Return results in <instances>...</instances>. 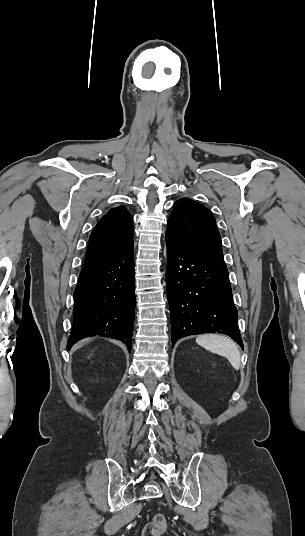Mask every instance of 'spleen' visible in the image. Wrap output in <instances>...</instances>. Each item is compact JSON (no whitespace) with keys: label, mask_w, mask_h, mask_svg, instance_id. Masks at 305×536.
Returning <instances> with one entry per match:
<instances>
[{"label":"spleen","mask_w":305,"mask_h":536,"mask_svg":"<svg viewBox=\"0 0 305 536\" xmlns=\"http://www.w3.org/2000/svg\"><path fill=\"white\" fill-rule=\"evenodd\" d=\"M196 344H199V346H202L205 350H209V352H213V354L224 356V358L229 360L231 366H233L235 370H239V350L236 344H234L232 340H229V338L219 336V334H204V336H198V338H196Z\"/></svg>","instance_id":"obj_1"}]
</instances>
